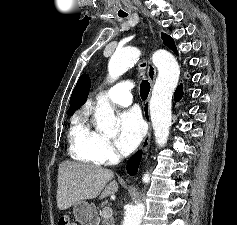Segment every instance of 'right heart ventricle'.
<instances>
[{
    "instance_id": "obj_1",
    "label": "right heart ventricle",
    "mask_w": 237,
    "mask_h": 225,
    "mask_svg": "<svg viewBox=\"0 0 237 225\" xmlns=\"http://www.w3.org/2000/svg\"><path fill=\"white\" fill-rule=\"evenodd\" d=\"M99 137L100 134L88 123L87 113L85 111L78 113L72 121L69 133L72 158L82 162L101 164L95 152V142Z\"/></svg>"
}]
</instances>
